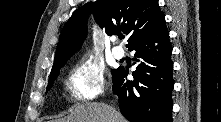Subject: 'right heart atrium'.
<instances>
[{
	"mask_svg": "<svg viewBox=\"0 0 221 122\" xmlns=\"http://www.w3.org/2000/svg\"><path fill=\"white\" fill-rule=\"evenodd\" d=\"M68 83L75 101L93 100L106 89L104 68L90 59L82 60L70 71Z\"/></svg>",
	"mask_w": 221,
	"mask_h": 122,
	"instance_id": "d8ad5b80",
	"label": "right heart atrium"
}]
</instances>
